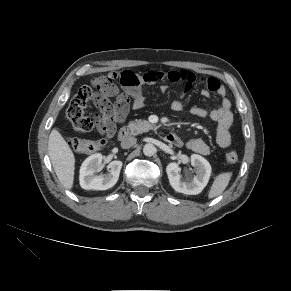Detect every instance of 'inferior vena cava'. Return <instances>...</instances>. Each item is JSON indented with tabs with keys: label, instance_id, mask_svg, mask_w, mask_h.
<instances>
[{
	"label": "inferior vena cava",
	"instance_id": "1",
	"mask_svg": "<svg viewBox=\"0 0 291 291\" xmlns=\"http://www.w3.org/2000/svg\"><path fill=\"white\" fill-rule=\"evenodd\" d=\"M136 142H137V139L135 137L129 136V137H126L122 140L121 147L124 149H128V148L134 146L136 144Z\"/></svg>",
	"mask_w": 291,
	"mask_h": 291
}]
</instances>
